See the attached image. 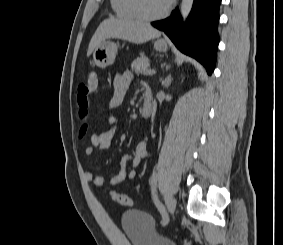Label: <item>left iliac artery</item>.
Here are the masks:
<instances>
[{"mask_svg": "<svg viewBox=\"0 0 283 245\" xmlns=\"http://www.w3.org/2000/svg\"><path fill=\"white\" fill-rule=\"evenodd\" d=\"M157 181H158V175H157V173H153L151 180H150L152 196H153L155 205L157 206L158 210L160 211V213L162 215V225H165L166 218H167V212H166L164 206L161 204V202L159 201V199L156 195Z\"/></svg>", "mask_w": 283, "mask_h": 245, "instance_id": "44dca946", "label": "left iliac artery"}]
</instances>
